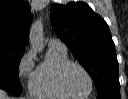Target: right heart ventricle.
I'll use <instances>...</instances> for the list:
<instances>
[{
    "label": "right heart ventricle",
    "mask_w": 128,
    "mask_h": 99,
    "mask_svg": "<svg viewBox=\"0 0 128 99\" xmlns=\"http://www.w3.org/2000/svg\"><path fill=\"white\" fill-rule=\"evenodd\" d=\"M69 61L66 51L49 48L45 60L34 70L30 81V92L38 99H67L58 87L59 68Z\"/></svg>",
    "instance_id": "right-heart-ventricle-1"
}]
</instances>
